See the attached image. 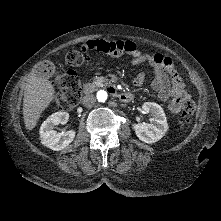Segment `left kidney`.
<instances>
[{"instance_id":"5707ae66","label":"left kidney","mask_w":221,"mask_h":221,"mask_svg":"<svg viewBox=\"0 0 221 221\" xmlns=\"http://www.w3.org/2000/svg\"><path fill=\"white\" fill-rule=\"evenodd\" d=\"M146 114H151V124L137 123L132 127L137 137L148 144H152L160 140L168 130V123L163 108L153 102H146L142 106Z\"/></svg>"}]
</instances>
